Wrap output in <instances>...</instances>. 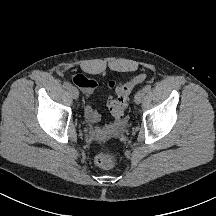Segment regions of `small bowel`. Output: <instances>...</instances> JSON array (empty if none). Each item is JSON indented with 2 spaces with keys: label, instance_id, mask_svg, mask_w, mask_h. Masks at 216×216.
<instances>
[{
  "label": "small bowel",
  "instance_id": "c3829d8e",
  "mask_svg": "<svg viewBox=\"0 0 216 216\" xmlns=\"http://www.w3.org/2000/svg\"><path fill=\"white\" fill-rule=\"evenodd\" d=\"M73 81L82 90L87 99L94 93L98 86L95 80L85 77L84 75H81V79L79 81H75L74 78ZM109 102L110 100L108 101V105ZM85 117L90 123H97L101 120L100 112L97 111L89 101H87L85 106ZM117 130L118 123L112 122L106 126L94 129L92 131V135L97 139H104L116 133Z\"/></svg>",
  "mask_w": 216,
  "mask_h": 216
}]
</instances>
